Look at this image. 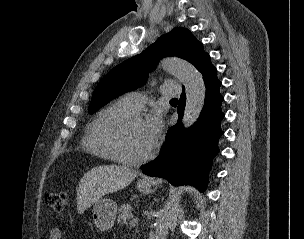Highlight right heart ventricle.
I'll list each match as a JSON object with an SVG mask.
<instances>
[{
	"label": "right heart ventricle",
	"instance_id": "right-heart-ventricle-1",
	"mask_svg": "<svg viewBox=\"0 0 304 239\" xmlns=\"http://www.w3.org/2000/svg\"><path fill=\"white\" fill-rule=\"evenodd\" d=\"M135 113L122 100L113 102L100 110L87 125L82 145L90 154L116 162L110 144V131L122 118Z\"/></svg>",
	"mask_w": 304,
	"mask_h": 239
}]
</instances>
